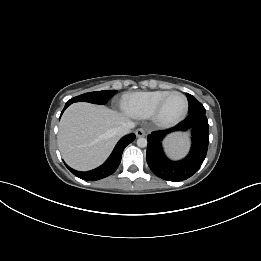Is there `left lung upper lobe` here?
<instances>
[{
  "label": "left lung upper lobe",
  "instance_id": "1",
  "mask_svg": "<svg viewBox=\"0 0 261 261\" xmlns=\"http://www.w3.org/2000/svg\"><path fill=\"white\" fill-rule=\"evenodd\" d=\"M189 102V114L193 113H206L204 106L192 95L186 94Z\"/></svg>",
  "mask_w": 261,
  "mask_h": 261
}]
</instances>
